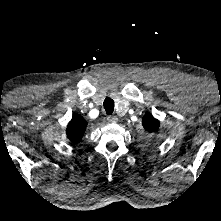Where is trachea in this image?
I'll use <instances>...</instances> for the list:
<instances>
[{
	"label": "trachea",
	"instance_id": "1",
	"mask_svg": "<svg viewBox=\"0 0 221 221\" xmlns=\"http://www.w3.org/2000/svg\"><path fill=\"white\" fill-rule=\"evenodd\" d=\"M103 106L105 108V111L107 115H111L114 111V101L111 98H106L104 100Z\"/></svg>",
	"mask_w": 221,
	"mask_h": 221
}]
</instances>
